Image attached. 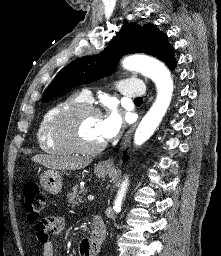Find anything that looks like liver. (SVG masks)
<instances>
[{
    "label": "liver",
    "instance_id": "1",
    "mask_svg": "<svg viewBox=\"0 0 221 256\" xmlns=\"http://www.w3.org/2000/svg\"><path fill=\"white\" fill-rule=\"evenodd\" d=\"M32 161L52 170H77L91 163V160L86 158L46 154L35 155Z\"/></svg>",
    "mask_w": 221,
    "mask_h": 256
}]
</instances>
